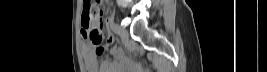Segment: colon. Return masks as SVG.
Listing matches in <instances>:
<instances>
[{"mask_svg": "<svg viewBox=\"0 0 267 72\" xmlns=\"http://www.w3.org/2000/svg\"><path fill=\"white\" fill-rule=\"evenodd\" d=\"M103 14V9L97 1H84L81 18L83 36L92 43L98 54L103 51L104 47Z\"/></svg>", "mask_w": 267, "mask_h": 72, "instance_id": "obj_1", "label": "colon"}]
</instances>
